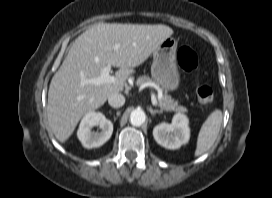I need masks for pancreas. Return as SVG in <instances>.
Here are the masks:
<instances>
[{
    "label": "pancreas",
    "mask_w": 272,
    "mask_h": 198,
    "mask_svg": "<svg viewBox=\"0 0 272 198\" xmlns=\"http://www.w3.org/2000/svg\"><path fill=\"white\" fill-rule=\"evenodd\" d=\"M136 84L143 85V84H154V81L149 76H141L137 79ZM158 105L160 106L162 111L167 112H178V113H184L187 111V109L183 106H179L178 102L172 99L170 95H168L166 92L162 95V97L158 100Z\"/></svg>",
    "instance_id": "pancreas-1"
}]
</instances>
